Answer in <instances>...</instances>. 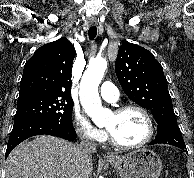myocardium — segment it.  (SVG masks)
<instances>
[{"label":"myocardium","instance_id":"obj_1","mask_svg":"<svg viewBox=\"0 0 194 178\" xmlns=\"http://www.w3.org/2000/svg\"><path fill=\"white\" fill-rule=\"evenodd\" d=\"M130 110L138 111L139 113H141L144 116V118L146 119L147 125H148V132H147L146 137L142 141H140L139 143L124 144V143H121L120 141H118L115 138V136L113 135V133L109 129H107L108 138H109L110 142L114 146L121 148V149L141 148L151 141V139L154 136V132H155V125H154L153 118H152L151 114L142 106L135 105V104L123 105V106L116 108L113 111V113L114 114H122V113H125V112L130 111Z\"/></svg>","mask_w":194,"mask_h":178}]
</instances>
